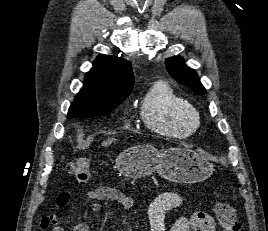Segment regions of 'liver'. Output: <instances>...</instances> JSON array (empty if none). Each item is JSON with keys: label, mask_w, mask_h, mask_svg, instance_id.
I'll return each instance as SVG.
<instances>
[{"label": "liver", "mask_w": 268, "mask_h": 231, "mask_svg": "<svg viewBox=\"0 0 268 231\" xmlns=\"http://www.w3.org/2000/svg\"><path fill=\"white\" fill-rule=\"evenodd\" d=\"M113 141H114V139H110V140L104 141V142L102 143V145H103V146H108V145H110Z\"/></svg>", "instance_id": "6515ba94"}]
</instances>
